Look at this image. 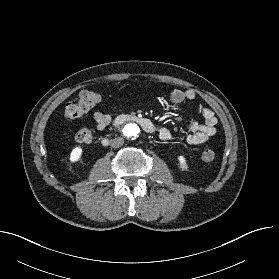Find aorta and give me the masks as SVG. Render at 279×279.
<instances>
[{
  "mask_svg": "<svg viewBox=\"0 0 279 279\" xmlns=\"http://www.w3.org/2000/svg\"><path fill=\"white\" fill-rule=\"evenodd\" d=\"M123 135L129 139L136 138L140 133V128L136 123H128L122 129Z\"/></svg>",
  "mask_w": 279,
  "mask_h": 279,
  "instance_id": "762f6f07",
  "label": "aorta"
}]
</instances>
